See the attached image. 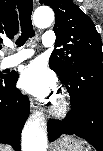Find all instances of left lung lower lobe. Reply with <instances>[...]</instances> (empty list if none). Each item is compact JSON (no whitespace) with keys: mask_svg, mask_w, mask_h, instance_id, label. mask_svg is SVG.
I'll return each mask as SVG.
<instances>
[{"mask_svg":"<svg viewBox=\"0 0 103 151\" xmlns=\"http://www.w3.org/2000/svg\"><path fill=\"white\" fill-rule=\"evenodd\" d=\"M86 67L90 78L84 79ZM71 98V111L63 121L50 119V142L61 134H75L86 139L98 151H103V59L90 58L85 68H78L61 79Z\"/></svg>","mask_w":103,"mask_h":151,"instance_id":"0a47b994","label":"left lung lower lobe"}]
</instances>
